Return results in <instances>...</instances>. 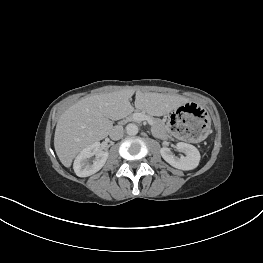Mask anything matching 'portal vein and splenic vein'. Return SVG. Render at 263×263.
<instances>
[{"label": "portal vein and splenic vein", "instance_id": "portal-vein-and-splenic-vein-1", "mask_svg": "<svg viewBox=\"0 0 263 263\" xmlns=\"http://www.w3.org/2000/svg\"><path fill=\"white\" fill-rule=\"evenodd\" d=\"M134 119H135V121H138V122L146 120L150 125H152V123H153L152 119L149 116L144 115L142 113L134 114Z\"/></svg>", "mask_w": 263, "mask_h": 263}]
</instances>
